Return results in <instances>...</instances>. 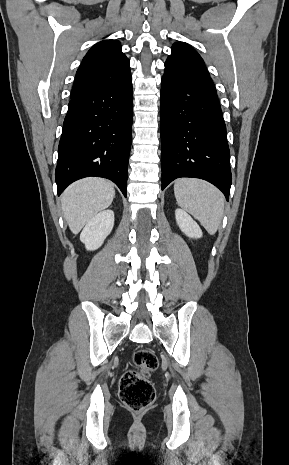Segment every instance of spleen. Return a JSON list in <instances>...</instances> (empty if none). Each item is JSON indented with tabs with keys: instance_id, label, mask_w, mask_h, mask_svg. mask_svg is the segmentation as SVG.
<instances>
[{
	"instance_id": "1",
	"label": "spleen",
	"mask_w": 289,
	"mask_h": 465,
	"mask_svg": "<svg viewBox=\"0 0 289 465\" xmlns=\"http://www.w3.org/2000/svg\"><path fill=\"white\" fill-rule=\"evenodd\" d=\"M174 194L179 206L197 218L209 234L217 232L224 196L215 186L201 179L180 178L175 181Z\"/></svg>"
}]
</instances>
